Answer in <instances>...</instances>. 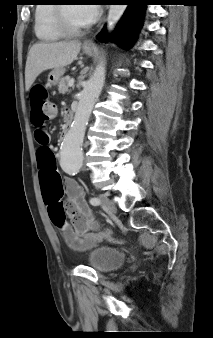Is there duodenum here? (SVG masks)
I'll return each instance as SVG.
<instances>
[{"instance_id":"410a0bca","label":"duodenum","mask_w":213,"mask_h":338,"mask_svg":"<svg viewBox=\"0 0 213 338\" xmlns=\"http://www.w3.org/2000/svg\"><path fill=\"white\" fill-rule=\"evenodd\" d=\"M72 119H73L72 113H68L67 120H66L65 124L63 125V129H62V133H61V136L63 138H65L68 134V131H69L71 125H72Z\"/></svg>"}]
</instances>
